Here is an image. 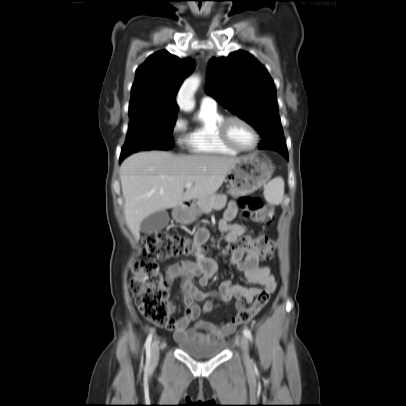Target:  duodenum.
Returning <instances> with one entry per match:
<instances>
[{"instance_id": "duodenum-1", "label": "duodenum", "mask_w": 406, "mask_h": 406, "mask_svg": "<svg viewBox=\"0 0 406 406\" xmlns=\"http://www.w3.org/2000/svg\"><path fill=\"white\" fill-rule=\"evenodd\" d=\"M182 205L187 207V206H189V203L188 202H183Z\"/></svg>"}]
</instances>
